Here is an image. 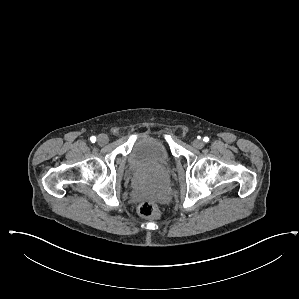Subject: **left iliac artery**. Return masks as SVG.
Returning <instances> with one entry per match:
<instances>
[{"label":"left iliac artery","instance_id":"44dca946","mask_svg":"<svg viewBox=\"0 0 299 299\" xmlns=\"http://www.w3.org/2000/svg\"><path fill=\"white\" fill-rule=\"evenodd\" d=\"M203 141H204V142H208V141H209V138H208V137H204V138H203Z\"/></svg>","mask_w":299,"mask_h":299}]
</instances>
